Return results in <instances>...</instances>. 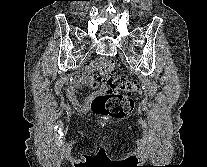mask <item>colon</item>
I'll return each mask as SVG.
<instances>
[{"label":"colon","instance_id":"obj_1","mask_svg":"<svg viewBox=\"0 0 207 167\" xmlns=\"http://www.w3.org/2000/svg\"><path fill=\"white\" fill-rule=\"evenodd\" d=\"M95 78L102 82V89L93 99L92 111L102 118H123L133 107L130 95L140 90L139 84L115 73V63L108 60L93 66Z\"/></svg>","mask_w":207,"mask_h":167}]
</instances>
